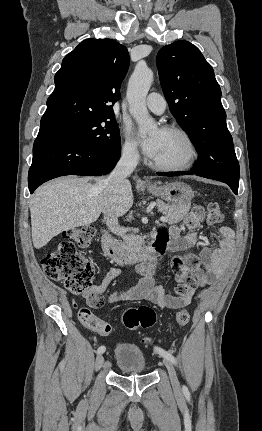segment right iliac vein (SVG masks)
<instances>
[{"instance_id":"right-iliac-vein-1","label":"right iliac vein","mask_w":262,"mask_h":431,"mask_svg":"<svg viewBox=\"0 0 262 431\" xmlns=\"http://www.w3.org/2000/svg\"><path fill=\"white\" fill-rule=\"evenodd\" d=\"M103 363H104V357L103 355L99 354L96 358V363H95L96 369L99 370L103 366Z\"/></svg>"}]
</instances>
